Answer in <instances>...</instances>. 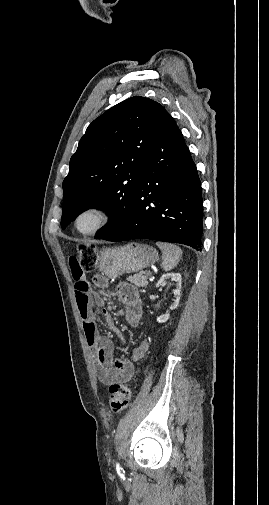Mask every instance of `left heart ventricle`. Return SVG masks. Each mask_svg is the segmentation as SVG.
<instances>
[{
	"label": "left heart ventricle",
	"instance_id": "left-heart-ventricle-1",
	"mask_svg": "<svg viewBox=\"0 0 269 505\" xmlns=\"http://www.w3.org/2000/svg\"><path fill=\"white\" fill-rule=\"evenodd\" d=\"M99 221V217L95 213H89L81 217L78 222V227L82 231H87L93 228L97 222Z\"/></svg>",
	"mask_w": 269,
	"mask_h": 505
}]
</instances>
